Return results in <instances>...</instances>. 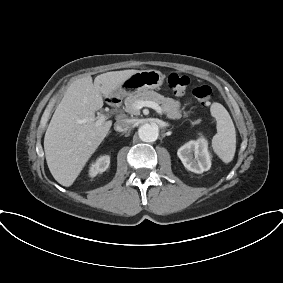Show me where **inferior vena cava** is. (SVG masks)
<instances>
[{"instance_id":"obj_1","label":"inferior vena cava","mask_w":283,"mask_h":283,"mask_svg":"<svg viewBox=\"0 0 283 283\" xmlns=\"http://www.w3.org/2000/svg\"><path fill=\"white\" fill-rule=\"evenodd\" d=\"M133 126V122L130 119L122 118L115 122L114 129L118 132L128 131Z\"/></svg>"}]
</instances>
